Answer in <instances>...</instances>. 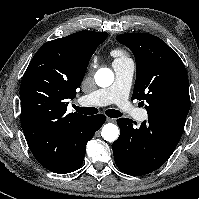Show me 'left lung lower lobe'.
Here are the masks:
<instances>
[{"label": "left lung lower lobe", "mask_w": 199, "mask_h": 199, "mask_svg": "<svg viewBox=\"0 0 199 199\" xmlns=\"http://www.w3.org/2000/svg\"><path fill=\"white\" fill-rule=\"evenodd\" d=\"M117 124L120 136L112 144L114 160L121 171L130 175H145L160 168L183 133V129L153 118L143 121L139 128L126 118H119Z\"/></svg>", "instance_id": "obj_1"}]
</instances>
